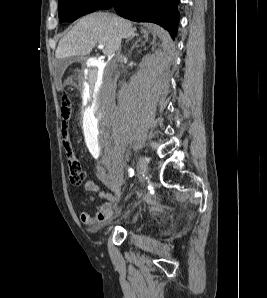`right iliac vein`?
<instances>
[{
  "mask_svg": "<svg viewBox=\"0 0 267 298\" xmlns=\"http://www.w3.org/2000/svg\"><path fill=\"white\" fill-rule=\"evenodd\" d=\"M138 169H139V179L141 182H143L144 176L147 174V170H148V161L143 156L139 158Z\"/></svg>",
  "mask_w": 267,
  "mask_h": 298,
  "instance_id": "obj_1",
  "label": "right iliac vein"
}]
</instances>
